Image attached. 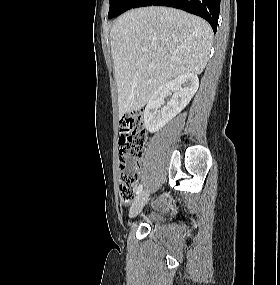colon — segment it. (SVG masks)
I'll use <instances>...</instances> for the list:
<instances>
[{"label": "colon", "instance_id": "obj_1", "mask_svg": "<svg viewBox=\"0 0 280 285\" xmlns=\"http://www.w3.org/2000/svg\"><path fill=\"white\" fill-rule=\"evenodd\" d=\"M145 121L141 112H131L120 120L119 128V196L124 204L135 197L138 182L136 165L143 157Z\"/></svg>", "mask_w": 280, "mask_h": 285}]
</instances>
